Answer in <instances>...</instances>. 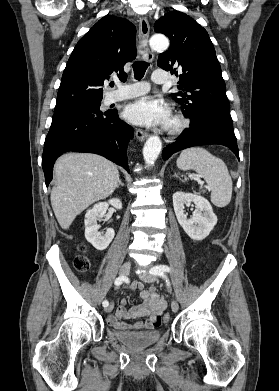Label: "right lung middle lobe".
Here are the masks:
<instances>
[{
    "label": "right lung middle lobe",
    "instance_id": "right-lung-middle-lobe-1",
    "mask_svg": "<svg viewBox=\"0 0 279 391\" xmlns=\"http://www.w3.org/2000/svg\"><path fill=\"white\" fill-rule=\"evenodd\" d=\"M100 101L84 102L76 105H72L66 108L54 110V115L63 114V113H75V112H92V113H103L100 111Z\"/></svg>",
    "mask_w": 279,
    "mask_h": 391
}]
</instances>
